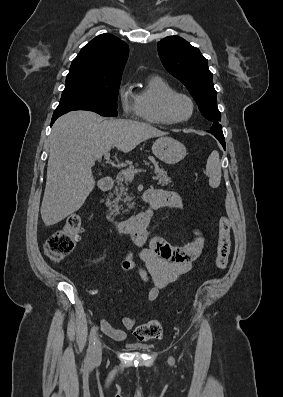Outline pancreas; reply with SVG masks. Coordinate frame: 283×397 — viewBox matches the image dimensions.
<instances>
[{
    "mask_svg": "<svg viewBox=\"0 0 283 397\" xmlns=\"http://www.w3.org/2000/svg\"><path fill=\"white\" fill-rule=\"evenodd\" d=\"M145 165H149L148 162H144ZM154 165V173L155 176L153 177L154 180L158 181V184L161 186H167L169 185L172 180L170 177L167 176V171H165L163 168H160L157 162H153ZM128 169H134V166H130ZM116 182H117V187H115L114 194H116L117 198L115 199V202L118 203L119 201H124L128 202L127 205L128 207L132 208L134 206V203H132L133 198L130 197L127 194V188L125 187V184H127L128 179L123 175V174H118L116 177ZM123 208L119 207L116 205V211L119 213L122 211Z\"/></svg>",
    "mask_w": 283,
    "mask_h": 397,
    "instance_id": "pancreas-1",
    "label": "pancreas"
}]
</instances>
